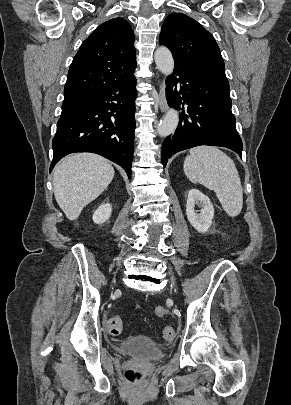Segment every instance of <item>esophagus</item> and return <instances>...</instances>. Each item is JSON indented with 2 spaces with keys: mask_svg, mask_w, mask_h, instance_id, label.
I'll return each instance as SVG.
<instances>
[{
  "mask_svg": "<svg viewBox=\"0 0 291 405\" xmlns=\"http://www.w3.org/2000/svg\"><path fill=\"white\" fill-rule=\"evenodd\" d=\"M157 105H158L159 109L161 110V112H165L167 110V108H168L167 100H166L165 93H164V85L163 84H161L160 87H159V97H158V100H157Z\"/></svg>",
  "mask_w": 291,
  "mask_h": 405,
  "instance_id": "1",
  "label": "esophagus"
}]
</instances>
